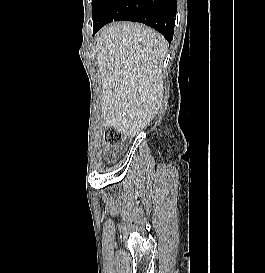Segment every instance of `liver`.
I'll return each mask as SVG.
<instances>
[{
  "label": "liver",
  "instance_id": "1",
  "mask_svg": "<svg viewBox=\"0 0 265 273\" xmlns=\"http://www.w3.org/2000/svg\"><path fill=\"white\" fill-rule=\"evenodd\" d=\"M167 48L164 37L143 24L116 22L99 31L97 63L107 126L132 138L158 113Z\"/></svg>",
  "mask_w": 265,
  "mask_h": 273
}]
</instances>
